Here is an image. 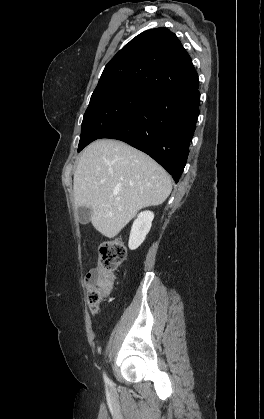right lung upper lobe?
Wrapping results in <instances>:
<instances>
[{"label": "right lung upper lobe", "mask_w": 264, "mask_h": 419, "mask_svg": "<svg viewBox=\"0 0 264 419\" xmlns=\"http://www.w3.org/2000/svg\"><path fill=\"white\" fill-rule=\"evenodd\" d=\"M197 82L191 58L176 35L156 28L133 38L109 61L96 89L128 84L157 94Z\"/></svg>", "instance_id": "cb5924a9"}]
</instances>
